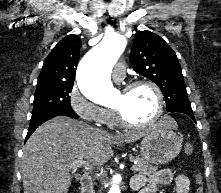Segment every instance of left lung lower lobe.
Returning <instances> with one entry per match:
<instances>
[{"label": "left lung lower lobe", "mask_w": 221, "mask_h": 193, "mask_svg": "<svg viewBox=\"0 0 221 193\" xmlns=\"http://www.w3.org/2000/svg\"><path fill=\"white\" fill-rule=\"evenodd\" d=\"M171 112H180V113H184L188 116H190L194 121H195V118H194V115H193V111L192 109H188V108H180V109H176V110H173Z\"/></svg>", "instance_id": "0a47b994"}]
</instances>
